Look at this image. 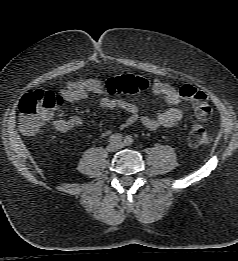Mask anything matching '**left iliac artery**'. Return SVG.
<instances>
[{"instance_id": "left-iliac-artery-1", "label": "left iliac artery", "mask_w": 238, "mask_h": 261, "mask_svg": "<svg viewBox=\"0 0 238 261\" xmlns=\"http://www.w3.org/2000/svg\"><path fill=\"white\" fill-rule=\"evenodd\" d=\"M133 142H134V140H133V138H132V136H130V135H127L126 137H125V139H124V143L126 144V145H132L133 144Z\"/></svg>"}]
</instances>
